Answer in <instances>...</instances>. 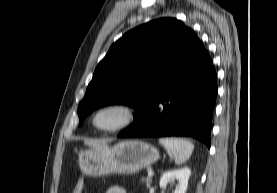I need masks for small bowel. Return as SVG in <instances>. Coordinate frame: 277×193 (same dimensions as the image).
Masks as SVG:
<instances>
[{"label": "small bowel", "mask_w": 277, "mask_h": 193, "mask_svg": "<svg viewBox=\"0 0 277 193\" xmlns=\"http://www.w3.org/2000/svg\"><path fill=\"white\" fill-rule=\"evenodd\" d=\"M105 193H127V191L122 186L115 185L109 187Z\"/></svg>", "instance_id": "small-bowel-1"}]
</instances>
